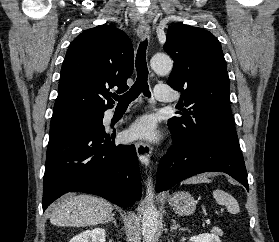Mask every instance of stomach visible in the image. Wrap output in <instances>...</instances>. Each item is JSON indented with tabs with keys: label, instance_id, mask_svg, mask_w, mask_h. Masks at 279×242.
<instances>
[{
	"label": "stomach",
	"instance_id": "obj_1",
	"mask_svg": "<svg viewBox=\"0 0 279 242\" xmlns=\"http://www.w3.org/2000/svg\"><path fill=\"white\" fill-rule=\"evenodd\" d=\"M169 204L179 215H190L195 212L196 201L193 196L185 191L174 193L169 198Z\"/></svg>",
	"mask_w": 279,
	"mask_h": 242
}]
</instances>
